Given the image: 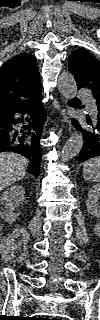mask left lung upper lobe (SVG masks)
<instances>
[{
    "label": "left lung upper lobe",
    "instance_id": "5c2ea615",
    "mask_svg": "<svg viewBox=\"0 0 100 320\" xmlns=\"http://www.w3.org/2000/svg\"><path fill=\"white\" fill-rule=\"evenodd\" d=\"M69 71L75 75L78 88L91 90L96 103L100 104V62L81 48L69 56Z\"/></svg>",
    "mask_w": 100,
    "mask_h": 320
}]
</instances>
